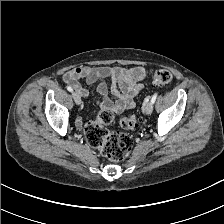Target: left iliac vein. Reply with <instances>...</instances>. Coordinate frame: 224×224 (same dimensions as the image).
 <instances>
[{"mask_svg": "<svg viewBox=\"0 0 224 224\" xmlns=\"http://www.w3.org/2000/svg\"><path fill=\"white\" fill-rule=\"evenodd\" d=\"M144 112L149 115L152 113L153 111V103L152 102H148L144 105V108H143Z\"/></svg>", "mask_w": 224, "mask_h": 224, "instance_id": "4c4485c4", "label": "left iliac vein"}]
</instances>
